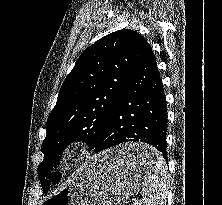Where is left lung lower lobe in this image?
<instances>
[{
    "mask_svg": "<svg viewBox=\"0 0 222 205\" xmlns=\"http://www.w3.org/2000/svg\"><path fill=\"white\" fill-rule=\"evenodd\" d=\"M167 109L162 80L151 46L147 44L131 71L107 125L94 147L98 153L125 142L153 145L167 159ZM154 156L136 152L131 162L150 165Z\"/></svg>",
    "mask_w": 222,
    "mask_h": 205,
    "instance_id": "0a47b994",
    "label": "left lung lower lobe"
}]
</instances>
